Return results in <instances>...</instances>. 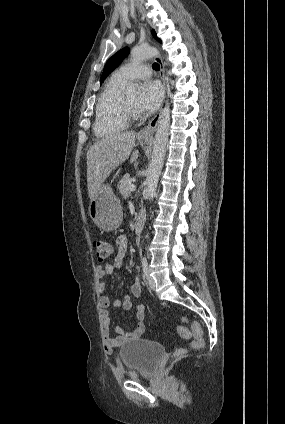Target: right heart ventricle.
Here are the masks:
<instances>
[{
    "label": "right heart ventricle",
    "mask_w": 285,
    "mask_h": 424,
    "mask_svg": "<svg viewBox=\"0 0 285 424\" xmlns=\"http://www.w3.org/2000/svg\"><path fill=\"white\" fill-rule=\"evenodd\" d=\"M125 82L115 74L106 82L96 106L94 132L97 137L111 136L127 127L128 120L121 107V89Z\"/></svg>",
    "instance_id": "right-heart-ventricle-1"
}]
</instances>
